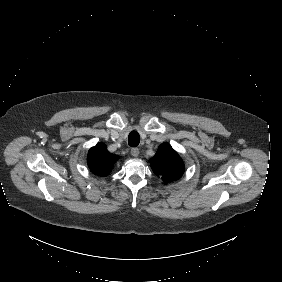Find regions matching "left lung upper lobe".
I'll use <instances>...</instances> for the list:
<instances>
[{"mask_svg":"<svg viewBox=\"0 0 282 282\" xmlns=\"http://www.w3.org/2000/svg\"><path fill=\"white\" fill-rule=\"evenodd\" d=\"M150 163L153 172L165 183L178 180L184 173V163L169 143L159 146Z\"/></svg>","mask_w":282,"mask_h":282,"instance_id":"5c2ea615","label":"left lung upper lobe"}]
</instances>
